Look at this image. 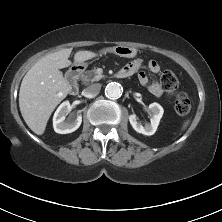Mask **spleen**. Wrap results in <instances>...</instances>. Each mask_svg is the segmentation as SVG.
Wrapping results in <instances>:
<instances>
[{
  "mask_svg": "<svg viewBox=\"0 0 222 222\" xmlns=\"http://www.w3.org/2000/svg\"><path fill=\"white\" fill-rule=\"evenodd\" d=\"M188 124H189V121H186L183 125V129H185L188 126Z\"/></svg>",
  "mask_w": 222,
  "mask_h": 222,
  "instance_id": "3e777b00",
  "label": "spleen"
}]
</instances>
